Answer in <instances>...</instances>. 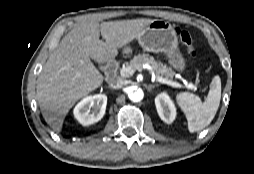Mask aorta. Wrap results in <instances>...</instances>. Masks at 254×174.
Instances as JSON below:
<instances>
[{
	"mask_svg": "<svg viewBox=\"0 0 254 174\" xmlns=\"http://www.w3.org/2000/svg\"><path fill=\"white\" fill-rule=\"evenodd\" d=\"M127 94H128V98L132 102H140L144 97L143 90L141 88H138L137 86L130 87L128 89Z\"/></svg>",
	"mask_w": 254,
	"mask_h": 174,
	"instance_id": "1",
	"label": "aorta"
}]
</instances>
